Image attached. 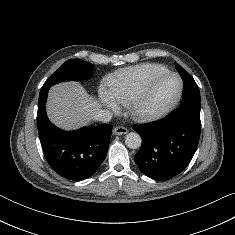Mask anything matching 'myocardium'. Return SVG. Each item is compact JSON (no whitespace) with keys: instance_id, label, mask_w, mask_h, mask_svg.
Segmentation results:
<instances>
[{"instance_id":"myocardium-1","label":"myocardium","mask_w":235,"mask_h":235,"mask_svg":"<svg viewBox=\"0 0 235 235\" xmlns=\"http://www.w3.org/2000/svg\"><path fill=\"white\" fill-rule=\"evenodd\" d=\"M168 77L176 78L179 82V89L176 96L168 104H166L160 109L153 111L146 110L144 104L150 94L152 86L158 80ZM183 89H184L183 80L178 74L170 71L156 74L147 80L142 90L129 104V111L131 115L138 121L147 122L159 119L164 115H166L167 113H169L177 105L183 94Z\"/></svg>"}]
</instances>
